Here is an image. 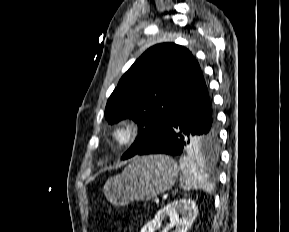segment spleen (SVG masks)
Returning a JSON list of instances; mask_svg holds the SVG:
<instances>
[{
	"mask_svg": "<svg viewBox=\"0 0 289 232\" xmlns=\"http://www.w3.org/2000/svg\"><path fill=\"white\" fill-rule=\"evenodd\" d=\"M179 164L181 170L180 183L185 190L202 189L208 193L213 191V185L210 183L203 166L190 157L180 158Z\"/></svg>",
	"mask_w": 289,
	"mask_h": 232,
	"instance_id": "spleen-1",
	"label": "spleen"
}]
</instances>
